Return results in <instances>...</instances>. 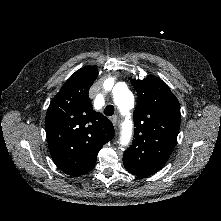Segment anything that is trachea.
Wrapping results in <instances>:
<instances>
[{"label": "trachea", "instance_id": "trachea-1", "mask_svg": "<svg viewBox=\"0 0 221 221\" xmlns=\"http://www.w3.org/2000/svg\"><path fill=\"white\" fill-rule=\"evenodd\" d=\"M104 114L106 116H112L114 114V106L113 105H107L104 109Z\"/></svg>", "mask_w": 221, "mask_h": 221}]
</instances>
